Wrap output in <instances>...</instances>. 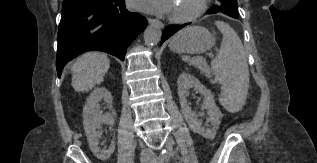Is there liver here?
<instances>
[{
	"instance_id": "1",
	"label": "liver",
	"mask_w": 317,
	"mask_h": 163,
	"mask_svg": "<svg viewBox=\"0 0 317 163\" xmlns=\"http://www.w3.org/2000/svg\"><path fill=\"white\" fill-rule=\"evenodd\" d=\"M110 68L106 54L87 52L82 54L71 67L72 87L77 92H88L100 84Z\"/></svg>"
}]
</instances>
